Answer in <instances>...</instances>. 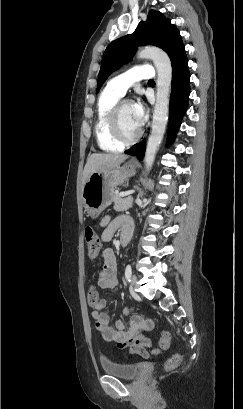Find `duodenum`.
I'll list each match as a JSON object with an SVG mask.
<instances>
[{
    "label": "duodenum",
    "instance_id": "1",
    "mask_svg": "<svg viewBox=\"0 0 243 409\" xmlns=\"http://www.w3.org/2000/svg\"><path fill=\"white\" fill-rule=\"evenodd\" d=\"M132 232L130 230H126L122 233V238H121V245L123 247H126L130 240H131Z\"/></svg>",
    "mask_w": 243,
    "mask_h": 409
}]
</instances>
